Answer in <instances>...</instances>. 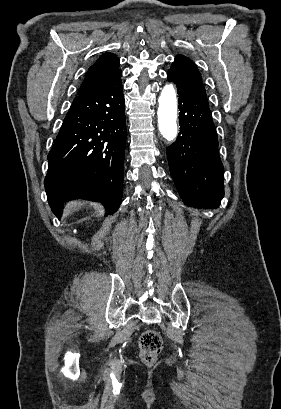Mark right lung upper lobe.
<instances>
[{
	"instance_id": "obj_1",
	"label": "right lung upper lobe",
	"mask_w": 281,
	"mask_h": 409,
	"mask_svg": "<svg viewBox=\"0 0 281 409\" xmlns=\"http://www.w3.org/2000/svg\"><path fill=\"white\" fill-rule=\"evenodd\" d=\"M118 67L119 58L113 53H104L88 69L78 95L91 93L110 83L120 73Z\"/></svg>"
}]
</instances>
